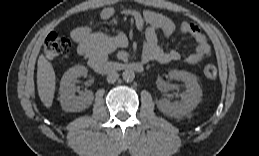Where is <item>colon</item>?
Wrapping results in <instances>:
<instances>
[{
    "label": "colon",
    "instance_id": "5ec220e1",
    "mask_svg": "<svg viewBox=\"0 0 259 156\" xmlns=\"http://www.w3.org/2000/svg\"><path fill=\"white\" fill-rule=\"evenodd\" d=\"M70 41L56 33H50L45 40L44 52L45 56L53 60L67 54L70 50ZM204 76L208 79H214L217 76V68L212 65H206L203 70Z\"/></svg>",
    "mask_w": 259,
    "mask_h": 156
}]
</instances>
